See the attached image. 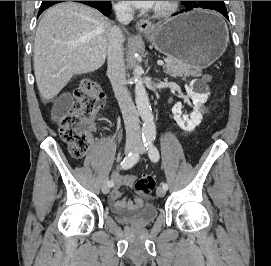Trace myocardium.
<instances>
[{
	"mask_svg": "<svg viewBox=\"0 0 271 266\" xmlns=\"http://www.w3.org/2000/svg\"><path fill=\"white\" fill-rule=\"evenodd\" d=\"M177 9V1H161L156 7L155 14L159 17H168Z\"/></svg>",
	"mask_w": 271,
	"mask_h": 266,
	"instance_id": "1",
	"label": "myocardium"
}]
</instances>
